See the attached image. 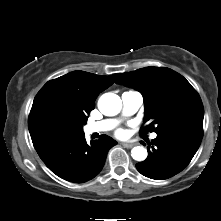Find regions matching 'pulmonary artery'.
I'll use <instances>...</instances> for the list:
<instances>
[{
  "instance_id": "obj_1",
  "label": "pulmonary artery",
  "mask_w": 221,
  "mask_h": 221,
  "mask_svg": "<svg viewBox=\"0 0 221 221\" xmlns=\"http://www.w3.org/2000/svg\"><path fill=\"white\" fill-rule=\"evenodd\" d=\"M123 104V114L125 116L132 115L138 111L143 103L142 95L136 91H126L121 95ZM117 124L116 119H105L98 122H92L86 125L85 131L88 134L101 133L109 131L114 128ZM157 134L152 133L151 138H156Z\"/></svg>"
}]
</instances>
